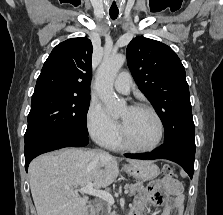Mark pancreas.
<instances>
[{"label": "pancreas", "instance_id": "cf45deb5", "mask_svg": "<svg viewBox=\"0 0 223 215\" xmlns=\"http://www.w3.org/2000/svg\"><path fill=\"white\" fill-rule=\"evenodd\" d=\"M124 187L128 188L130 193L129 195H136V193H138V191H142V189H144V185L143 184H134V183H126V185H124ZM108 209V215H116V211H111L112 207H107Z\"/></svg>", "mask_w": 223, "mask_h": 215}]
</instances>
